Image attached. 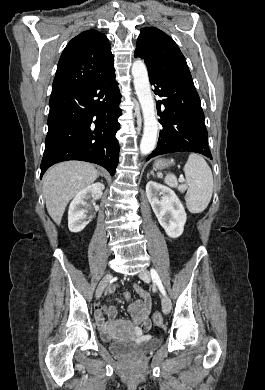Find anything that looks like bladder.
Here are the masks:
<instances>
[{
	"instance_id": "1",
	"label": "bladder",
	"mask_w": 265,
	"mask_h": 390,
	"mask_svg": "<svg viewBox=\"0 0 265 390\" xmlns=\"http://www.w3.org/2000/svg\"><path fill=\"white\" fill-rule=\"evenodd\" d=\"M160 340L158 338H150L141 343H133L127 341H113L109 343V348L113 353L118 354H134L142 353L158 347Z\"/></svg>"
}]
</instances>
